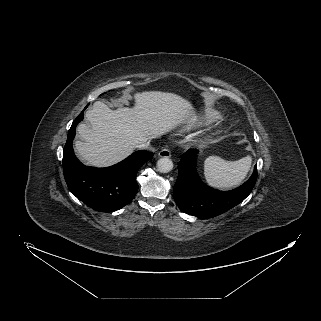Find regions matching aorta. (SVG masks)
Masks as SVG:
<instances>
[{"label": "aorta", "instance_id": "aorta-1", "mask_svg": "<svg viewBox=\"0 0 321 321\" xmlns=\"http://www.w3.org/2000/svg\"><path fill=\"white\" fill-rule=\"evenodd\" d=\"M173 169V162L167 157L160 158L157 161V170L162 173H168Z\"/></svg>", "mask_w": 321, "mask_h": 321}]
</instances>
